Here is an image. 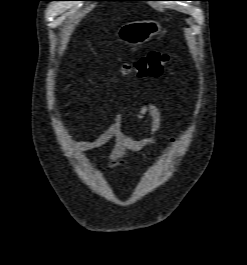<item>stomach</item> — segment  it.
<instances>
[{"label": "stomach", "instance_id": "stomach-1", "mask_svg": "<svg viewBox=\"0 0 247 265\" xmlns=\"http://www.w3.org/2000/svg\"><path fill=\"white\" fill-rule=\"evenodd\" d=\"M161 25L155 20H143L126 23L117 32V40L130 46L142 45L157 35Z\"/></svg>", "mask_w": 247, "mask_h": 265}]
</instances>
